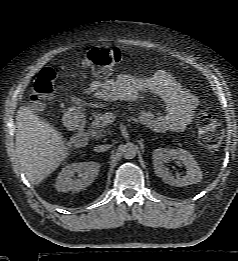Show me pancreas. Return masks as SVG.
Masks as SVG:
<instances>
[{"mask_svg": "<svg viewBox=\"0 0 238 261\" xmlns=\"http://www.w3.org/2000/svg\"><path fill=\"white\" fill-rule=\"evenodd\" d=\"M104 114L100 111H96L92 114V122L89 127V134L98 139L102 138L104 134H106L108 131L106 130V127L108 124L104 121Z\"/></svg>", "mask_w": 238, "mask_h": 261, "instance_id": "1", "label": "pancreas"}]
</instances>
